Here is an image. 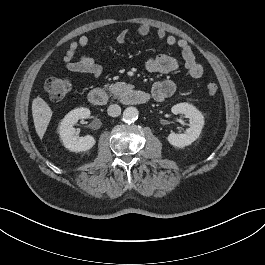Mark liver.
<instances>
[{"mask_svg":"<svg viewBox=\"0 0 265 265\" xmlns=\"http://www.w3.org/2000/svg\"><path fill=\"white\" fill-rule=\"evenodd\" d=\"M52 110L44 99L37 97L32 101V116L36 132L43 138L52 117Z\"/></svg>","mask_w":265,"mask_h":265,"instance_id":"1","label":"liver"}]
</instances>
